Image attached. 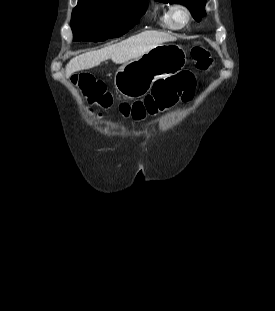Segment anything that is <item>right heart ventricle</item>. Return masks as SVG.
<instances>
[{"label":"right heart ventricle","mask_w":275,"mask_h":311,"mask_svg":"<svg viewBox=\"0 0 275 311\" xmlns=\"http://www.w3.org/2000/svg\"><path fill=\"white\" fill-rule=\"evenodd\" d=\"M158 24L161 28L175 31L177 30L171 23L170 20V8L163 9L158 15Z\"/></svg>","instance_id":"e07e8e85"}]
</instances>
